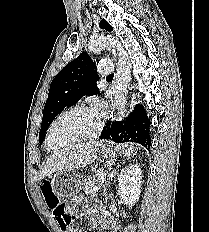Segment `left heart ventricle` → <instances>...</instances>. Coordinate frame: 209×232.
Segmentation results:
<instances>
[{
  "label": "left heart ventricle",
  "instance_id": "1",
  "mask_svg": "<svg viewBox=\"0 0 209 232\" xmlns=\"http://www.w3.org/2000/svg\"><path fill=\"white\" fill-rule=\"evenodd\" d=\"M100 117L94 111H73L62 117L53 128L50 145L57 148L70 139L91 132L98 124Z\"/></svg>",
  "mask_w": 209,
  "mask_h": 232
}]
</instances>
